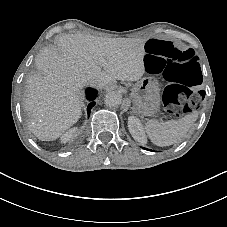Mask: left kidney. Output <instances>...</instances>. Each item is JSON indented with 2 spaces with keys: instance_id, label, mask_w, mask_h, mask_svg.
<instances>
[{
  "instance_id": "1",
  "label": "left kidney",
  "mask_w": 227,
  "mask_h": 227,
  "mask_svg": "<svg viewBox=\"0 0 227 227\" xmlns=\"http://www.w3.org/2000/svg\"><path fill=\"white\" fill-rule=\"evenodd\" d=\"M128 128L129 132L131 133L132 137L140 142V143H146V137L142 128V125L138 119L135 117H129L128 118Z\"/></svg>"
}]
</instances>
